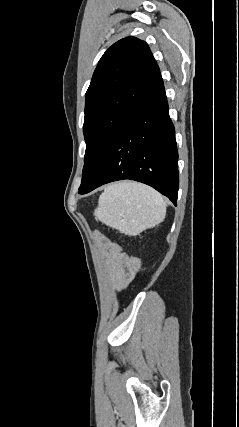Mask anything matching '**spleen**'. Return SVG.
Returning <instances> with one entry per match:
<instances>
[{
	"label": "spleen",
	"mask_w": 239,
	"mask_h": 427,
	"mask_svg": "<svg viewBox=\"0 0 239 427\" xmlns=\"http://www.w3.org/2000/svg\"><path fill=\"white\" fill-rule=\"evenodd\" d=\"M94 214L107 226L135 236L164 220L166 204L153 188L123 181L105 187Z\"/></svg>",
	"instance_id": "spleen-1"
}]
</instances>
